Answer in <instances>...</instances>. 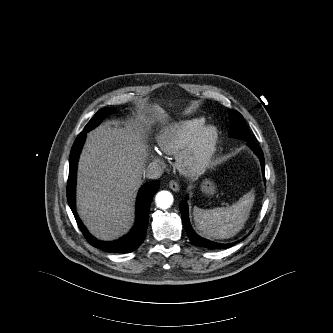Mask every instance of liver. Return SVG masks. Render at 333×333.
Wrapping results in <instances>:
<instances>
[{"label":"liver","mask_w":333,"mask_h":333,"mask_svg":"<svg viewBox=\"0 0 333 333\" xmlns=\"http://www.w3.org/2000/svg\"><path fill=\"white\" fill-rule=\"evenodd\" d=\"M168 115L157 104L124 126L106 123L91 131L78 167L77 208L88 230L101 240L124 234L134 219V203L148 160L146 131L152 118Z\"/></svg>","instance_id":"1"}]
</instances>
